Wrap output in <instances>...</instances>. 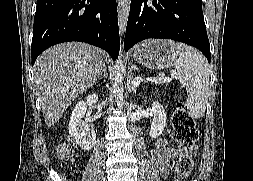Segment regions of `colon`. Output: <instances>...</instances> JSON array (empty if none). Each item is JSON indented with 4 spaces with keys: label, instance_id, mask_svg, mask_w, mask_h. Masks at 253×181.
Wrapping results in <instances>:
<instances>
[{
    "label": "colon",
    "instance_id": "obj_1",
    "mask_svg": "<svg viewBox=\"0 0 253 181\" xmlns=\"http://www.w3.org/2000/svg\"><path fill=\"white\" fill-rule=\"evenodd\" d=\"M173 136L179 144L182 153L176 164V178H186L193 168L192 153L198 140V132L194 120L185 111L183 103L179 102L172 115ZM64 152V148L61 149Z\"/></svg>",
    "mask_w": 253,
    "mask_h": 181
}]
</instances>
